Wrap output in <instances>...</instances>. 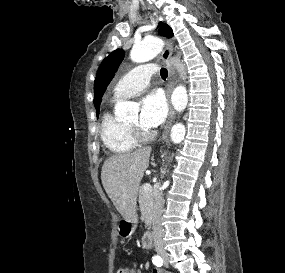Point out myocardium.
Masks as SVG:
<instances>
[{"mask_svg":"<svg viewBox=\"0 0 285 273\" xmlns=\"http://www.w3.org/2000/svg\"><path fill=\"white\" fill-rule=\"evenodd\" d=\"M126 127L137 142H147L155 136L153 132L145 131L139 126H132L127 123Z\"/></svg>","mask_w":285,"mask_h":273,"instance_id":"1","label":"myocardium"}]
</instances>
